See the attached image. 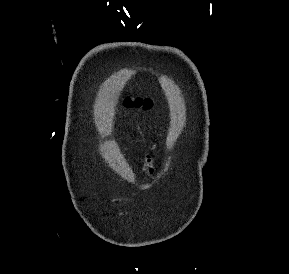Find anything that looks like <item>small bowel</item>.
Masks as SVG:
<instances>
[{
  "label": "small bowel",
  "instance_id": "obj_1",
  "mask_svg": "<svg viewBox=\"0 0 289 274\" xmlns=\"http://www.w3.org/2000/svg\"><path fill=\"white\" fill-rule=\"evenodd\" d=\"M144 168L147 174L149 175L153 174L155 170V165H154V159L151 154H147L145 156Z\"/></svg>",
  "mask_w": 289,
  "mask_h": 274
}]
</instances>
